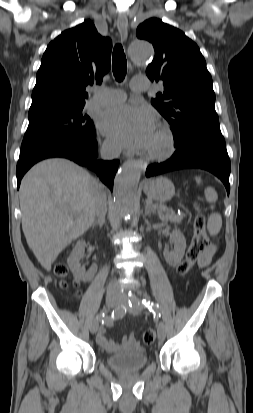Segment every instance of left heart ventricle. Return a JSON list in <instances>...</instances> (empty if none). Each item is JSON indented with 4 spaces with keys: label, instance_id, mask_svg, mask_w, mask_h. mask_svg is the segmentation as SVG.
Wrapping results in <instances>:
<instances>
[{
    "label": "left heart ventricle",
    "instance_id": "obj_1",
    "mask_svg": "<svg viewBox=\"0 0 253 413\" xmlns=\"http://www.w3.org/2000/svg\"><path fill=\"white\" fill-rule=\"evenodd\" d=\"M159 145H160V139H159L157 131H155L152 143L149 147H157Z\"/></svg>",
    "mask_w": 253,
    "mask_h": 413
}]
</instances>
